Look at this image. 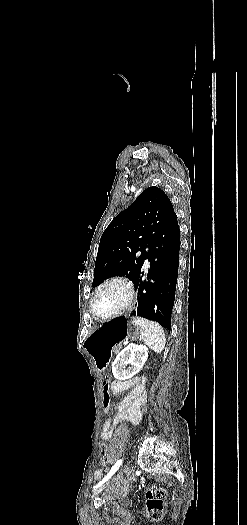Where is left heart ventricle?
<instances>
[{
	"mask_svg": "<svg viewBox=\"0 0 247 525\" xmlns=\"http://www.w3.org/2000/svg\"><path fill=\"white\" fill-rule=\"evenodd\" d=\"M128 291L121 285H107L101 289L95 299V308L106 313L120 307L127 299Z\"/></svg>",
	"mask_w": 247,
	"mask_h": 525,
	"instance_id": "b2bd125f",
	"label": "left heart ventricle"
}]
</instances>
